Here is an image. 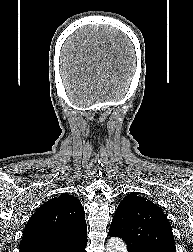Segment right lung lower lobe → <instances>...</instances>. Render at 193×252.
<instances>
[{
    "label": "right lung lower lobe",
    "mask_w": 193,
    "mask_h": 252,
    "mask_svg": "<svg viewBox=\"0 0 193 252\" xmlns=\"http://www.w3.org/2000/svg\"><path fill=\"white\" fill-rule=\"evenodd\" d=\"M87 243L81 247H79L78 249L74 250L73 252H86L85 251V247H86Z\"/></svg>",
    "instance_id": "obj_1"
}]
</instances>
